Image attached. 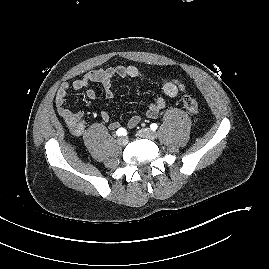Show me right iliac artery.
I'll use <instances>...</instances> for the list:
<instances>
[{"instance_id":"82829eb1","label":"right iliac artery","mask_w":269,"mask_h":269,"mask_svg":"<svg viewBox=\"0 0 269 269\" xmlns=\"http://www.w3.org/2000/svg\"><path fill=\"white\" fill-rule=\"evenodd\" d=\"M116 134L118 136H122V135H126V130L124 128H119L117 131H116Z\"/></svg>"}]
</instances>
